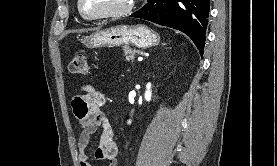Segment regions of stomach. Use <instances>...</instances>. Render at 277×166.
<instances>
[{"label": "stomach", "instance_id": "0dacf381", "mask_svg": "<svg viewBox=\"0 0 277 166\" xmlns=\"http://www.w3.org/2000/svg\"><path fill=\"white\" fill-rule=\"evenodd\" d=\"M82 42L89 48L133 44L145 49L158 45L160 36L145 25H118L97 31Z\"/></svg>", "mask_w": 277, "mask_h": 166}]
</instances>
